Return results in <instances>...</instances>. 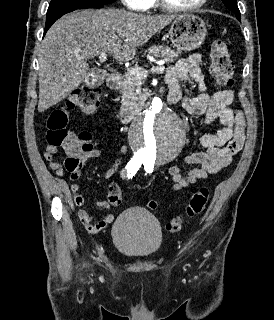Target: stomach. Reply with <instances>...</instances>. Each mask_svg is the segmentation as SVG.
Masks as SVG:
<instances>
[{"label": "stomach", "instance_id": "obj_1", "mask_svg": "<svg viewBox=\"0 0 274 320\" xmlns=\"http://www.w3.org/2000/svg\"><path fill=\"white\" fill-rule=\"evenodd\" d=\"M169 36L175 48L184 50V52H192L202 46L207 36V28L199 16L182 14L172 22Z\"/></svg>", "mask_w": 274, "mask_h": 320}]
</instances>
